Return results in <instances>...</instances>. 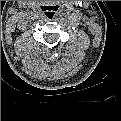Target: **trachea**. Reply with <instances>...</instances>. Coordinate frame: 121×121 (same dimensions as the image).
I'll return each instance as SVG.
<instances>
[{
	"label": "trachea",
	"mask_w": 121,
	"mask_h": 121,
	"mask_svg": "<svg viewBox=\"0 0 121 121\" xmlns=\"http://www.w3.org/2000/svg\"><path fill=\"white\" fill-rule=\"evenodd\" d=\"M45 15L46 17H48L49 19H52L55 17L56 15V9L52 8V7H49L46 9V12H45Z\"/></svg>",
	"instance_id": "3493384b"
}]
</instances>
